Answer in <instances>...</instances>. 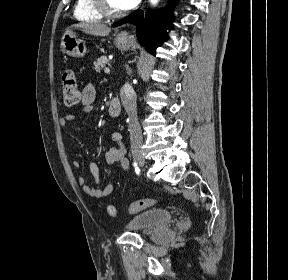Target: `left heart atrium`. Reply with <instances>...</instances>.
Returning a JSON list of instances; mask_svg holds the SVG:
<instances>
[{
    "label": "left heart atrium",
    "instance_id": "obj_1",
    "mask_svg": "<svg viewBox=\"0 0 288 280\" xmlns=\"http://www.w3.org/2000/svg\"><path fill=\"white\" fill-rule=\"evenodd\" d=\"M121 10H128L134 7L139 0H116Z\"/></svg>",
    "mask_w": 288,
    "mask_h": 280
}]
</instances>
